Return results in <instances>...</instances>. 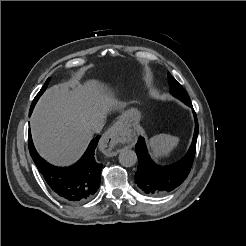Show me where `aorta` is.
Returning <instances> with one entry per match:
<instances>
[{
	"label": "aorta",
	"mask_w": 246,
	"mask_h": 246,
	"mask_svg": "<svg viewBox=\"0 0 246 246\" xmlns=\"http://www.w3.org/2000/svg\"><path fill=\"white\" fill-rule=\"evenodd\" d=\"M119 162L125 167H131L137 162V155L135 151L130 149H123L119 154Z\"/></svg>",
	"instance_id": "obj_1"
}]
</instances>
